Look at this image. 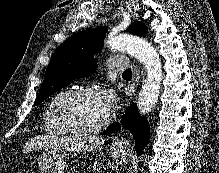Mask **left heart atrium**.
I'll list each match as a JSON object with an SVG mask.
<instances>
[{
	"instance_id": "obj_1",
	"label": "left heart atrium",
	"mask_w": 219,
	"mask_h": 173,
	"mask_svg": "<svg viewBox=\"0 0 219 173\" xmlns=\"http://www.w3.org/2000/svg\"><path fill=\"white\" fill-rule=\"evenodd\" d=\"M100 97L105 109L111 113L117 106V95L113 89L107 88L101 91Z\"/></svg>"
}]
</instances>
